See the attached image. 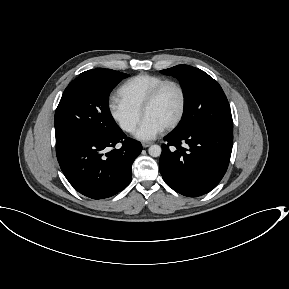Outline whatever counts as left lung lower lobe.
<instances>
[{"label":"left lung lower lobe","mask_w":289,"mask_h":289,"mask_svg":"<svg viewBox=\"0 0 289 289\" xmlns=\"http://www.w3.org/2000/svg\"><path fill=\"white\" fill-rule=\"evenodd\" d=\"M164 141L159 168L176 192L188 197L204 195L226 173L233 145L231 132L194 127L184 132L173 130Z\"/></svg>","instance_id":"obj_1"}]
</instances>
